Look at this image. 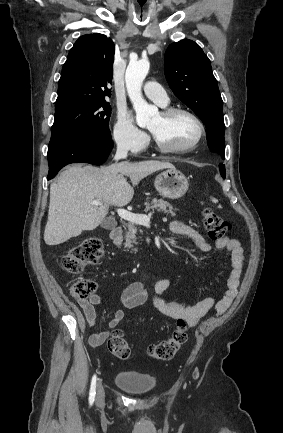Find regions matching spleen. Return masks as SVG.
<instances>
[{
    "label": "spleen",
    "instance_id": "obj_1",
    "mask_svg": "<svg viewBox=\"0 0 283 433\" xmlns=\"http://www.w3.org/2000/svg\"><path fill=\"white\" fill-rule=\"evenodd\" d=\"M212 202H218L217 198H212ZM221 208V206H219Z\"/></svg>",
    "mask_w": 283,
    "mask_h": 433
}]
</instances>
